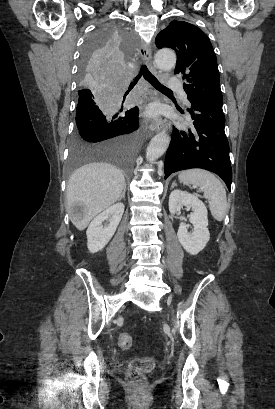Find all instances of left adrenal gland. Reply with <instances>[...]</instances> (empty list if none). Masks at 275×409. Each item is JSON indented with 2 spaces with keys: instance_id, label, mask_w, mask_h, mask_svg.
<instances>
[{
  "instance_id": "1",
  "label": "left adrenal gland",
  "mask_w": 275,
  "mask_h": 409,
  "mask_svg": "<svg viewBox=\"0 0 275 409\" xmlns=\"http://www.w3.org/2000/svg\"><path fill=\"white\" fill-rule=\"evenodd\" d=\"M174 186H176V180H173V182L171 184V188H174Z\"/></svg>"
}]
</instances>
